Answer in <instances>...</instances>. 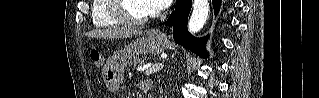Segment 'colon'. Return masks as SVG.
Instances as JSON below:
<instances>
[{"mask_svg":"<svg viewBox=\"0 0 319 98\" xmlns=\"http://www.w3.org/2000/svg\"><path fill=\"white\" fill-rule=\"evenodd\" d=\"M90 58L97 66H101L103 63L102 55L97 49H92L90 51Z\"/></svg>","mask_w":319,"mask_h":98,"instance_id":"5ec220e1","label":"colon"}]
</instances>
